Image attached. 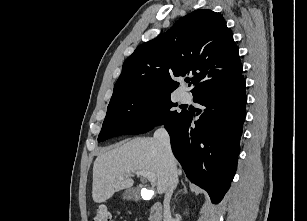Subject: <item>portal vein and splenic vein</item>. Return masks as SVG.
<instances>
[{
    "instance_id": "1",
    "label": "portal vein and splenic vein",
    "mask_w": 307,
    "mask_h": 221,
    "mask_svg": "<svg viewBox=\"0 0 307 221\" xmlns=\"http://www.w3.org/2000/svg\"><path fill=\"white\" fill-rule=\"evenodd\" d=\"M136 175L138 176H143L147 178L150 182H155L156 181V176L154 173H151L149 171H144V170H139L135 172Z\"/></svg>"
}]
</instances>
